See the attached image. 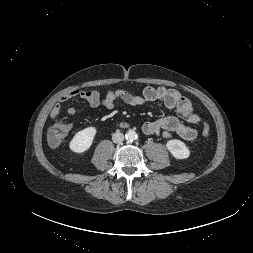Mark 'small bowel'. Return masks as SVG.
Instances as JSON below:
<instances>
[{"instance_id":"obj_1","label":"small bowel","mask_w":253,"mask_h":253,"mask_svg":"<svg viewBox=\"0 0 253 253\" xmlns=\"http://www.w3.org/2000/svg\"><path fill=\"white\" fill-rule=\"evenodd\" d=\"M76 97L84 99L92 108L103 106L107 109H112L118 101L131 106H140L148 102L162 101L167 108L175 109L188 124L183 123L174 116H166L155 121L145 122L142 126L143 132L147 135H155L166 139L177 135L186 141H192L197 137L196 125L199 124L200 117L194 112V107L190 100L176 89L162 86H147L141 94H132L125 90H114L109 91L105 95H102L98 91L74 89L63 95L54 105L50 113L51 119H57L63 104ZM67 112L70 117H73L76 110L70 107Z\"/></svg>"}]
</instances>
